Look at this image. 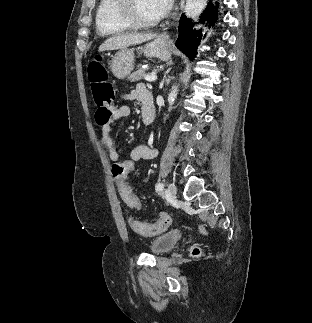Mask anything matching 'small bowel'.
<instances>
[{
  "label": "small bowel",
  "instance_id": "obj_1",
  "mask_svg": "<svg viewBox=\"0 0 312 323\" xmlns=\"http://www.w3.org/2000/svg\"><path fill=\"white\" fill-rule=\"evenodd\" d=\"M147 92L144 85H138L134 90L129 93L122 94L121 98L125 101L136 100L142 102V99ZM132 110L129 106L123 105L118 107L110 120L102 126V138L101 144L107 149L108 158L113 164H124L119 163V153L115 149L114 140L110 136L112 126L119 120L127 119L131 116ZM158 151L156 148L150 145H137L130 153V158H135L136 162L142 160H152L157 157ZM117 184V183H116Z\"/></svg>",
  "mask_w": 312,
  "mask_h": 323
}]
</instances>
